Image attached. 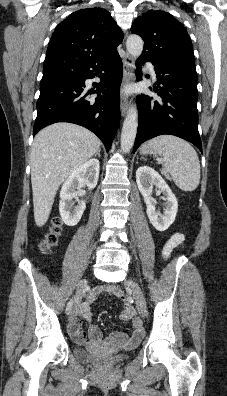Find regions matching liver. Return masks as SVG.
Segmentation results:
<instances>
[{"instance_id": "1", "label": "liver", "mask_w": 227, "mask_h": 396, "mask_svg": "<svg viewBox=\"0 0 227 396\" xmlns=\"http://www.w3.org/2000/svg\"><path fill=\"white\" fill-rule=\"evenodd\" d=\"M92 132L71 123H55L42 129L31 148V182L34 219L38 227L48 220L62 182L100 150Z\"/></svg>"}]
</instances>
